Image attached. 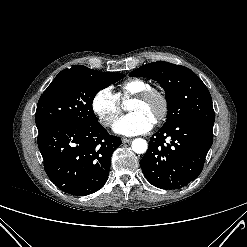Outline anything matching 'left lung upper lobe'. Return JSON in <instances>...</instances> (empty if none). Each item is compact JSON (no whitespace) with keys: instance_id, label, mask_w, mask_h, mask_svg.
I'll use <instances>...</instances> for the list:
<instances>
[{"instance_id":"1","label":"left lung upper lobe","mask_w":247,"mask_h":247,"mask_svg":"<svg viewBox=\"0 0 247 247\" xmlns=\"http://www.w3.org/2000/svg\"><path fill=\"white\" fill-rule=\"evenodd\" d=\"M130 76L149 77L163 87L168 109L164 127L184 120L214 125L211 95L201 79L189 68L168 62H153L133 70Z\"/></svg>"}]
</instances>
